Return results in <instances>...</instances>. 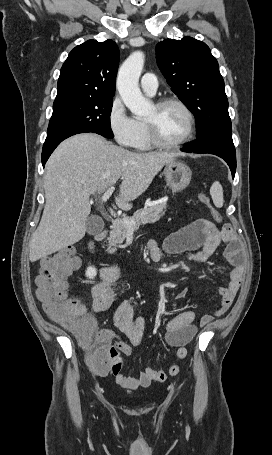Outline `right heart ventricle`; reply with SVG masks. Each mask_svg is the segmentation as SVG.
I'll return each instance as SVG.
<instances>
[{"mask_svg": "<svg viewBox=\"0 0 272 455\" xmlns=\"http://www.w3.org/2000/svg\"><path fill=\"white\" fill-rule=\"evenodd\" d=\"M137 123H138L139 132H138L136 141L133 145V148H135L136 150H139V151L151 150L153 145L150 142L145 122L141 121V120H137Z\"/></svg>", "mask_w": 272, "mask_h": 455, "instance_id": "e07e8e85", "label": "right heart ventricle"}]
</instances>
